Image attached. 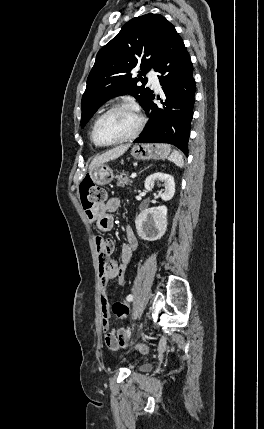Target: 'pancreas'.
Wrapping results in <instances>:
<instances>
[{"instance_id":"pancreas-1","label":"pancreas","mask_w":264,"mask_h":429,"mask_svg":"<svg viewBox=\"0 0 264 429\" xmlns=\"http://www.w3.org/2000/svg\"><path fill=\"white\" fill-rule=\"evenodd\" d=\"M128 176L129 175L127 172H121L120 174L116 175L117 186L124 187L125 185H130L132 181Z\"/></svg>"}]
</instances>
